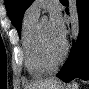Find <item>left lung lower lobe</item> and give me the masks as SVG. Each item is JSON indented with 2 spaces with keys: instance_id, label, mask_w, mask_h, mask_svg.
<instances>
[{
  "instance_id": "left-lung-lower-lobe-1",
  "label": "left lung lower lobe",
  "mask_w": 89,
  "mask_h": 89,
  "mask_svg": "<svg viewBox=\"0 0 89 89\" xmlns=\"http://www.w3.org/2000/svg\"><path fill=\"white\" fill-rule=\"evenodd\" d=\"M79 38L57 77L65 82L74 78L89 79V0H77ZM68 13V9H66Z\"/></svg>"
}]
</instances>
